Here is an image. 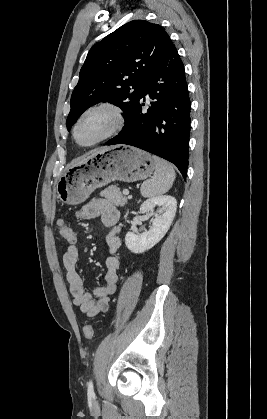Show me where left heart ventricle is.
I'll return each instance as SVG.
<instances>
[{
    "label": "left heart ventricle",
    "mask_w": 267,
    "mask_h": 419,
    "mask_svg": "<svg viewBox=\"0 0 267 419\" xmlns=\"http://www.w3.org/2000/svg\"><path fill=\"white\" fill-rule=\"evenodd\" d=\"M112 118L107 111H95L87 115L78 128V139L87 144L102 136L111 126Z\"/></svg>",
    "instance_id": "b2bd125f"
}]
</instances>
